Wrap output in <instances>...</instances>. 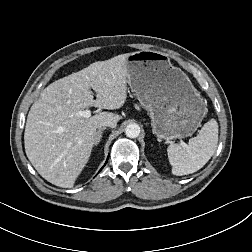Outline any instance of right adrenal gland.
I'll list each match as a JSON object with an SVG mask.
<instances>
[{
    "mask_svg": "<svg viewBox=\"0 0 252 252\" xmlns=\"http://www.w3.org/2000/svg\"><path fill=\"white\" fill-rule=\"evenodd\" d=\"M106 129V127L100 128L97 132H96V137H95V145H97L101 138H102V133L103 131Z\"/></svg>",
    "mask_w": 252,
    "mask_h": 252,
    "instance_id": "right-adrenal-gland-1",
    "label": "right adrenal gland"
}]
</instances>
